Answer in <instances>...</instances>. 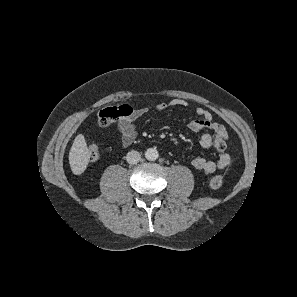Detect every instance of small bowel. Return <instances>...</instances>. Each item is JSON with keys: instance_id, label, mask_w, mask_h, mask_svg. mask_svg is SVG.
Here are the masks:
<instances>
[{"instance_id": "obj_1", "label": "small bowel", "mask_w": 297, "mask_h": 297, "mask_svg": "<svg viewBox=\"0 0 297 297\" xmlns=\"http://www.w3.org/2000/svg\"><path fill=\"white\" fill-rule=\"evenodd\" d=\"M188 102L182 99H172L168 103L161 102L156 105V109L159 111L166 110L169 107H187ZM198 118L189 121L187 127L191 132H200L203 130H209L210 132L203 133L200 144L204 149L210 148L217 137L227 138V132L224 126L213 120L210 111L203 107H197L195 109ZM148 113L147 108H137L133 110L132 115L128 117H122L118 120L117 128L120 133L121 143L123 146L131 145L137 137V130L135 122L144 117ZM231 158L227 153H223L216 161L208 160L203 157H196L192 159L191 165L198 171L211 174L217 170L226 168L230 164Z\"/></svg>"}]
</instances>
